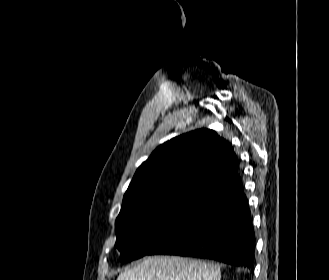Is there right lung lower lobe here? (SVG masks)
<instances>
[{
	"label": "right lung lower lobe",
	"mask_w": 329,
	"mask_h": 280,
	"mask_svg": "<svg viewBox=\"0 0 329 280\" xmlns=\"http://www.w3.org/2000/svg\"><path fill=\"white\" fill-rule=\"evenodd\" d=\"M214 259L236 266L254 263V230L240 176L226 179L148 255Z\"/></svg>",
	"instance_id": "98d812e1"
}]
</instances>
